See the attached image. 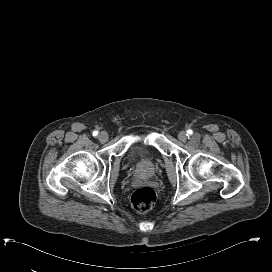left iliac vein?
<instances>
[{
  "mask_svg": "<svg viewBox=\"0 0 272 272\" xmlns=\"http://www.w3.org/2000/svg\"><path fill=\"white\" fill-rule=\"evenodd\" d=\"M187 138H188V135L185 131H181L179 132L178 134V139L181 141V142H186L187 141Z\"/></svg>",
  "mask_w": 272,
  "mask_h": 272,
  "instance_id": "left-iliac-vein-1",
  "label": "left iliac vein"
}]
</instances>
